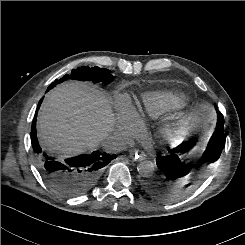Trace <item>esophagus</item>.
<instances>
[{"instance_id":"1","label":"esophagus","mask_w":245,"mask_h":245,"mask_svg":"<svg viewBox=\"0 0 245 245\" xmlns=\"http://www.w3.org/2000/svg\"><path fill=\"white\" fill-rule=\"evenodd\" d=\"M130 158L137 161H143L146 159V154L144 152H138V151H130Z\"/></svg>"}]
</instances>
